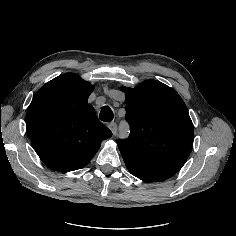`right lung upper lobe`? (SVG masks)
Here are the masks:
<instances>
[{
    "label": "right lung upper lobe",
    "instance_id": "obj_1",
    "mask_svg": "<svg viewBox=\"0 0 236 236\" xmlns=\"http://www.w3.org/2000/svg\"><path fill=\"white\" fill-rule=\"evenodd\" d=\"M93 89L77 74L66 73L46 83L32 99L27 133L49 168L62 173L83 168L112 136L88 104Z\"/></svg>",
    "mask_w": 236,
    "mask_h": 236
}]
</instances>
